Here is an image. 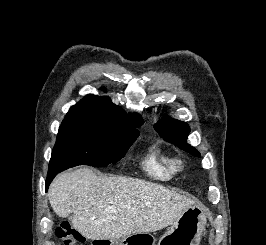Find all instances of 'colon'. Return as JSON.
I'll use <instances>...</instances> for the list:
<instances>
[{
  "label": "colon",
  "instance_id": "colon-1",
  "mask_svg": "<svg viewBox=\"0 0 266 245\" xmlns=\"http://www.w3.org/2000/svg\"><path fill=\"white\" fill-rule=\"evenodd\" d=\"M57 236L64 245H83L85 238L77 230L69 226L68 221H63L57 228Z\"/></svg>",
  "mask_w": 266,
  "mask_h": 245
}]
</instances>
